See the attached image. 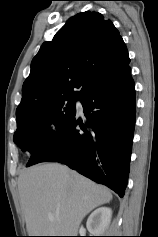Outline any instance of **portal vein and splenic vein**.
<instances>
[{
  "mask_svg": "<svg viewBox=\"0 0 158 237\" xmlns=\"http://www.w3.org/2000/svg\"><path fill=\"white\" fill-rule=\"evenodd\" d=\"M50 220H54L55 218L52 215H49Z\"/></svg>",
  "mask_w": 158,
  "mask_h": 237,
  "instance_id": "obj_1",
  "label": "portal vein and splenic vein"
}]
</instances>
